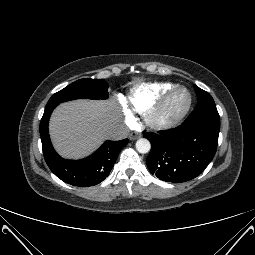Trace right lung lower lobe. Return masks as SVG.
I'll return each instance as SVG.
<instances>
[{"label": "right lung lower lobe", "instance_id": "obj_1", "mask_svg": "<svg viewBox=\"0 0 255 255\" xmlns=\"http://www.w3.org/2000/svg\"><path fill=\"white\" fill-rule=\"evenodd\" d=\"M56 106H46L40 122L42 149L48 167L57 177L73 186L89 187L100 183L109 175L128 139L106 141L87 158L78 161L65 160L53 149L48 133L49 117Z\"/></svg>", "mask_w": 255, "mask_h": 255}]
</instances>
